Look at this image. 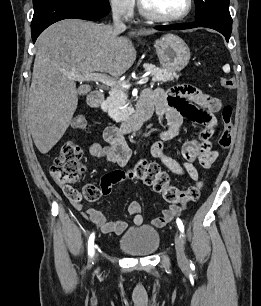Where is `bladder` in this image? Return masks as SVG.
<instances>
[{"label":"bladder","instance_id":"obj_1","mask_svg":"<svg viewBox=\"0 0 261 306\" xmlns=\"http://www.w3.org/2000/svg\"><path fill=\"white\" fill-rule=\"evenodd\" d=\"M118 246L129 255H152L160 246V235L156 229L148 225L132 227L119 238Z\"/></svg>","mask_w":261,"mask_h":306}]
</instances>
